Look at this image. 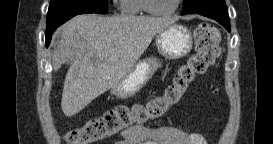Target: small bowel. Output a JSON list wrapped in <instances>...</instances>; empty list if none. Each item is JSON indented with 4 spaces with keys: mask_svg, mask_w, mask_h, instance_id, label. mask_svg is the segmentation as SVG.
<instances>
[{
    "mask_svg": "<svg viewBox=\"0 0 273 144\" xmlns=\"http://www.w3.org/2000/svg\"><path fill=\"white\" fill-rule=\"evenodd\" d=\"M211 92L217 94L215 85L211 86ZM115 144H206V141L199 133L177 127L150 128L139 125L121 132Z\"/></svg>",
    "mask_w": 273,
    "mask_h": 144,
    "instance_id": "1",
    "label": "small bowel"
}]
</instances>
